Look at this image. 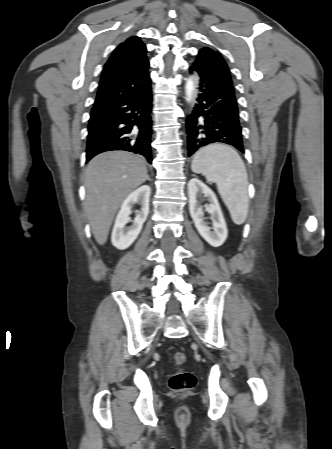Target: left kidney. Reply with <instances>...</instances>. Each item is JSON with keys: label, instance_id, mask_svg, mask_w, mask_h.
I'll use <instances>...</instances> for the list:
<instances>
[{"label": "left kidney", "instance_id": "1", "mask_svg": "<svg viewBox=\"0 0 332 449\" xmlns=\"http://www.w3.org/2000/svg\"><path fill=\"white\" fill-rule=\"evenodd\" d=\"M204 195L209 204L205 210L212 215V225L210 228L204 221V212L199 205L198 199ZM189 211L199 234L213 247L221 246L227 238L226 222L221 211L219 202L214 192L197 178H192L188 182ZM212 229V230H211Z\"/></svg>", "mask_w": 332, "mask_h": 449}]
</instances>
